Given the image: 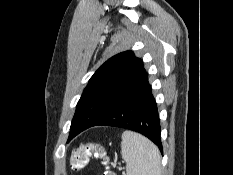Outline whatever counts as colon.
Instances as JSON below:
<instances>
[{"label":"colon","instance_id":"colon-1","mask_svg":"<svg viewBox=\"0 0 233 175\" xmlns=\"http://www.w3.org/2000/svg\"><path fill=\"white\" fill-rule=\"evenodd\" d=\"M91 156L101 160L105 167L102 175H117V173L110 168V158L108 156L106 147L101 142H87L76 146L70 155V166L73 170L83 169L89 162Z\"/></svg>","mask_w":233,"mask_h":175}]
</instances>
